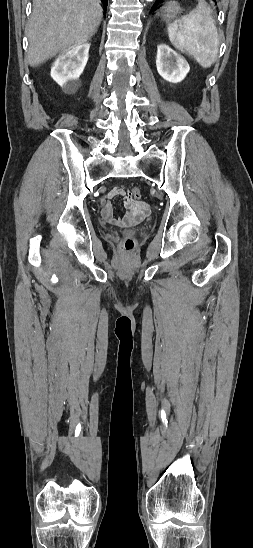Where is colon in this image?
I'll return each instance as SVG.
<instances>
[{"instance_id":"obj_1","label":"colon","mask_w":253,"mask_h":548,"mask_svg":"<svg viewBox=\"0 0 253 548\" xmlns=\"http://www.w3.org/2000/svg\"><path fill=\"white\" fill-rule=\"evenodd\" d=\"M131 195L135 200H139L142 196L140 189L137 187L132 189ZM134 247L135 241L131 237H127L121 242V249L126 253L132 252L134 250Z\"/></svg>"}]
</instances>
